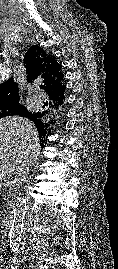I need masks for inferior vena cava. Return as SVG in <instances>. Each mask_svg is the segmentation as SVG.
I'll return each mask as SVG.
<instances>
[{
	"label": "inferior vena cava",
	"instance_id": "obj_1",
	"mask_svg": "<svg viewBox=\"0 0 118 269\" xmlns=\"http://www.w3.org/2000/svg\"><path fill=\"white\" fill-rule=\"evenodd\" d=\"M33 157H25L18 166L17 174H16V184L20 187L25 180L28 178L29 172L33 165Z\"/></svg>",
	"mask_w": 118,
	"mask_h": 269
}]
</instances>
